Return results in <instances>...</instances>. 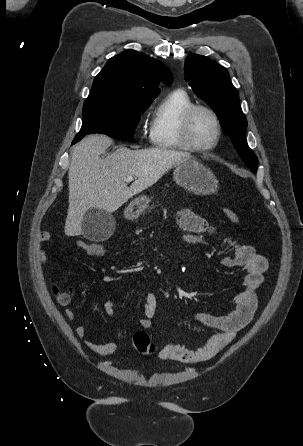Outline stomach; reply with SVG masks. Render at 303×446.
<instances>
[{
    "label": "stomach",
    "mask_w": 303,
    "mask_h": 446,
    "mask_svg": "<svg viewBox=\"0 0 303 446\" xmlns=\"http://www.w3.org/2000/svg\"><path fill=\"white\" fill-rule=\"evenodd\" d=\"M174 180L179 186L198 195L215 193L218 188L214 174L194 159L175 165ZM149 202L150 199L146 195L135 198L126 208L125 217L130 220L139 217L145 212Z\"/></svg>",
    "instance_id": "1"
}]
</instances>
